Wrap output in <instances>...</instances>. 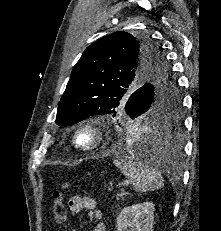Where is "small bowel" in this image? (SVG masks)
I'll use <instances>...</instances> for the list:
<instances>
[{
  "instance_id": "obj_1",
  "label": "small bowel",
  "mask_w": 221,
  "mask_h": 231,
  "mask_svg": "<svg viewBox=\"0 0 221 231\" xmlns=\"http://www.w3.org/2000/svg\"><path fill=\"white\" fill-rule=\"evenodd\" d=\"M69 208L74 213L86 210L89 212L91 218L98 220L101 218V213L97 209L96 200L89 196H72L69 200ZM93 231H106V228L102 222H98L93 228Z\"/></svg>"
}]
</instances>
